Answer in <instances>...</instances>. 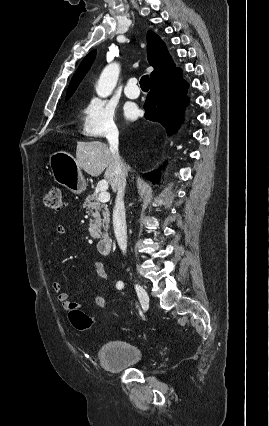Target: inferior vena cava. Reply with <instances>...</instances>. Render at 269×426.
I'll list each match as a JSON object with an SVG mask.
<instances>
[{
    "instance_id": "602c4592",
    "label": "inferior vena cava",
    "mask_w": 269,
    "mask_h": 426,
    "mask_svg": "<svg viewBox=\"0 0 269 426\" xmlns=\"http://www.w3.org/2000/svg\"><path fill=\"white\" fill-rule=\"evenodd\" d=\"M118 131H113L108 136V142L110 145V151L112 152L117 171L119 174V180L117 185V197L115 200V207L113 210V227L114 233L118 242V245L123 253H126L127 249V226L125 220V206H124V194L126 187V166L120 158L118 152Z\"/></svg>"
}]
</instances>
